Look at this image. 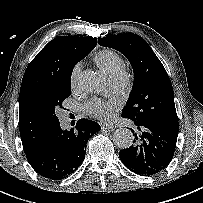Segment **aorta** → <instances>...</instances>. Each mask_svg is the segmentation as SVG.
<instances>
[{"instance_id": "762f6f07", "label": "aorta", "mask_w": 203, "mask_h": 203, "mask_svg": "<svg viewBox=\"0 0 203 203\" xmlns=\"http://www.w3.org/2000/svg\"><path fill=\"white\" fill-rule=\"evenodd\" d=\"M78 85L83 91L95 93L101 89L102 81L96 72L86 70L80 74ZM133 139L132 132L127 128L117 129L113 135V142L120 149L129 148Z\"/></svg>"}]
</instances>
